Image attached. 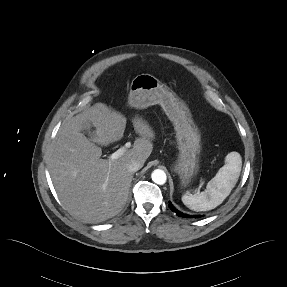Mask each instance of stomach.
Here are the masks:
<instances>
[{"label": "stomach", "mask_w": 287, "mask_h": 287, "mask_svg": "<svg viewBox=\"0 0 287 287\" xmlns=\"http://www.w3.org/2000/svg\"><path fill=\"white\" fill-rule=\"evenodd\" d=\"M128 104L136 109L155 104L162 107L176 132L179 154L173 170L182 186L189 185L199 171L201 135L187 104L151 74H139L132 80Z\"/></svg>", "instance_id": "0dacf381"}]
</instances>
